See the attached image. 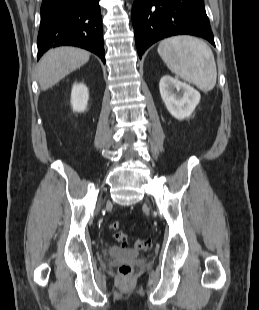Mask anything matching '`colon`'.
I'll return each mask as SVG.
<instances>
[{
  "instance_id": "5ec220e1",
  "label": "colon",
  "mask_w": 259,
  "mask_h": 310,
  "mask_svg": "<svg viewBox=\"0 0 259 310\" xmlns=\"http://www.w3.org/2000/svg\"><path fill=\"white\" fill-rule=\"evenodd\" d=\"M109 227L114 231L113 238L115 239V241L120 242L124 245H127L129 243L127 235L119 230L120 223L118 221L111 222L109 224ZM150 244V241L143 239H137L132 242L133 248L136 250H147L150 247ZM119 272L124 276H128L132 272V267L129 264H122L119 267Z\"/></svg>"
}]
</instances>
